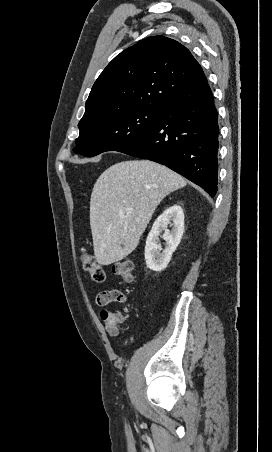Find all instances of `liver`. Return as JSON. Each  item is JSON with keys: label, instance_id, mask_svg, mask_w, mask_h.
Segmentation results:
<instances>
[{"label": "liver", "instance_id": "1", "mask_svg": "<svg viewBox=\"0 0 272 452\" xmlns=\"http://www.w3.org/2000/svg\"><path fill=\"white\" fill-rule=\"evenodd\" d=\"M186 184L181 175L150 160L122 161L106 169L90 199L96 261L110 265L134 251L160 202Z\"/></svg>", "mask_w": 272, "mask_h": 452}]
</instances>
